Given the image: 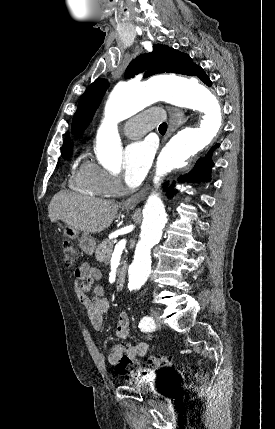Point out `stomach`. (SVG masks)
<instances>
[{
    "label": "stomach",
    "mask_w": 275,
    "mask_h": 429,
    "mask_svg": "<svg viewBox=\"0 0 275 429\" xmlns=\"http://www.w3.org/2000/svg\"><path fill=\"white\" fill-rule=\"evenodd\" d=\"M59 227L64 237L78 239L81 250L86 254H93L96 247V241L89 233H81L80 230L73 228L67 223L60 224Z\"/></svg>",
    "instance_id": "stomach-1"
}]
</instances>
